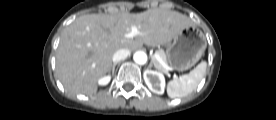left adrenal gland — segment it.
Segmentation results:
<instances>
[{
	"label": "left adrenal gland",
	"mask_w": 276,
	"mask_h": 120,
	"mask_svg": "<svg viewBox=\"0 0 276 120\" xmlns=\"http://www.w3.org/2000/svg\"><path fill=\"white\" fill-rule=\"evenodd\" d=\"M153 63H154V59L152 58L151 63L149 65L150 68L152 67Z\"/></svg>",
	"instance_id": "1"
}]
</instances>
